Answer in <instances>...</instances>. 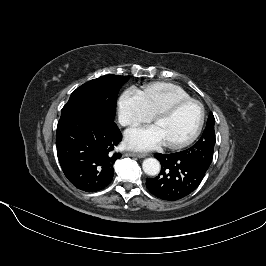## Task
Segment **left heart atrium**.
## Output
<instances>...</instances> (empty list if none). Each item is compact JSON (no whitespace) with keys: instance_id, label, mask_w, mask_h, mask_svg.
I'll list each match as a JSON object with an SVG mask.
<instances>
[{"instance_id":"39dd6f15","label":"left heart atrium","mask_w":266,"mask_h":266,"mask_svg":"<svg viewBox=\"0 0 266 266\" xmlns=\"http://www.w3.org/2000/svg\"><path fill=\"white\" fill-rule=\"evenodd\" d=\"M126 145L132 149L149 150L165 143L155 125L131 128L125 134Z\"/></svg>"}]
</instances>
